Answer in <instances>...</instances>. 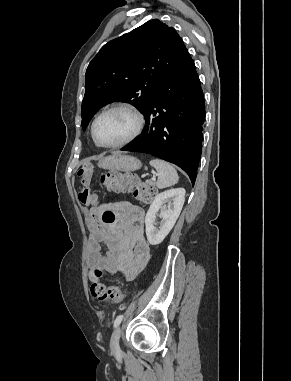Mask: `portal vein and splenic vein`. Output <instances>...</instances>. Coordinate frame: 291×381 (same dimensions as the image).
<instances>
[{"label":"portal vein and splenic vein","instance_id":"obj_1","mask_svg":"<svg viewBox=\"0 0 291 381\" xmlns=\"http://www.w3.org/2000/svg\"><path fill=\"white\" fill-rule=\"evenodd\" d=\"M152 180H153V181H155V180H156V177H155V175H153V177H152Z\"/></svg>","mask_w":291,"mask_h":381}]
</instances>
